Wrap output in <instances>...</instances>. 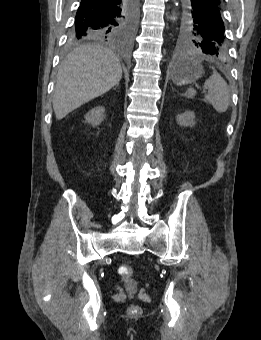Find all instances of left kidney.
<instances>
[{
  "mask_svg": "<svg viewBox=\"0 0 261 340\" xmlns=\"http://www.w3.org/2000/svg\"><path fill=\"white\" fill-rule=\"evenodd\" d=\"M194 119H195V115L191 111H186L182 114L177 115V123L180 126L192 127L193 125H195Z\"/></svg>",
  "mask_w": 261,
  "mask_h": 340,
  "instance_id": "1",
  "label": "left kidney"
}]
</instances>
